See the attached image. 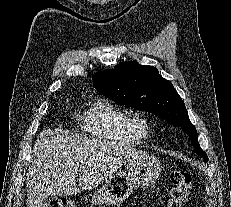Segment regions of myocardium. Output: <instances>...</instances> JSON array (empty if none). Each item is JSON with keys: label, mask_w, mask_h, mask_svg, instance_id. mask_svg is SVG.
<instances>
[{"label": "myocardium", "mask_w": 231, "mask_h": 207, "mask_svg": "<svg viewBox=\"0 0 231 207\" xmlns=\"http://www.w3.org/2000/svg\"><path fill=\"white\" fill-rule=\"evenodd\" d=\"M132 123L138 136L146 138L151 134L152 126L148 116L136 113L132 116Z\"/></svg>", "instance_id": "myocardium-1"}]
</instances>
